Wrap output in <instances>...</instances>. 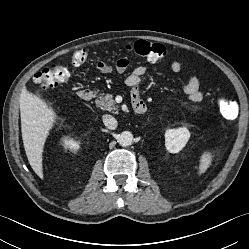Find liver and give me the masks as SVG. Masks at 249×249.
Returning <instances> with one entry per match:
<instances>
[{"label":"liver","mask_w":249,"mask_h":249,"mask_svg":"<svg viewBox=\"0 0 249 249\" xmlns=\"http://www.w3.org/2000/svg\"><path fill=\"white\" fill-rule=\"evenodd\" d=\"M19 103L25 152L32 169L43 179V149L57 114L45 100L26 89L22 91Z\"/></svg>","instance_id":"liver-1"}]
</instances>
